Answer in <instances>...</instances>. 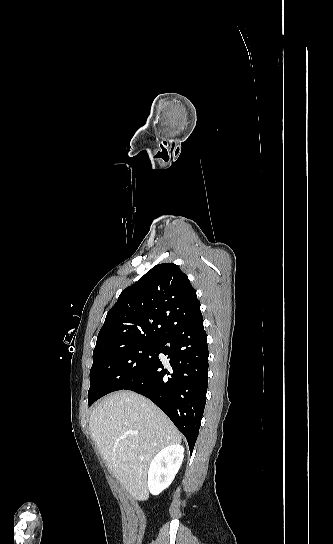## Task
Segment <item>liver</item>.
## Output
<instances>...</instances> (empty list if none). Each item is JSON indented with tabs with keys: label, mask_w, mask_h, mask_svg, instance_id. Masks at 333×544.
<instances>
[{
	"label": "liver",
	"mask_w": 333,
	"mask_h": 544,
	"mask_svg": "<svg viewBox=\"0 0 333 544\" xmlns=\"http://www.w3.org/2000/svg\"><path fill=\"white\" fill-rule=\"evenodd\" d=\"M89 427L113 475L138 500L148 497L146 478L154 455L181 442V434L159 408L129 391L104 398L92 411Z\"/></svg>",
	"instance_id": "obj_1"
}]
</instances>
